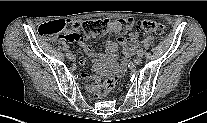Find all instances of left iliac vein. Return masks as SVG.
<instances>
[{"instance_id":"1","label":"left iliac vein","mask_w":207,"mask_h":123,"mask_svg":"<svg viewBox=\"0 0 207 123\" xmlns=\"http://www.w3.org/2000/svg\"><path fill=\"white\" fill-rule=\"evenodd\" d=\"M141 61H142V57L140 55H137L135 60H134V63L139 65L141 63Z\"/></svg>"}]
</instances>
